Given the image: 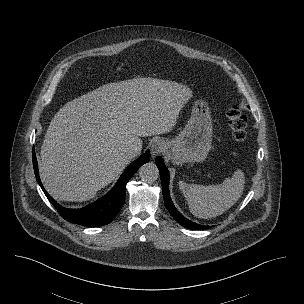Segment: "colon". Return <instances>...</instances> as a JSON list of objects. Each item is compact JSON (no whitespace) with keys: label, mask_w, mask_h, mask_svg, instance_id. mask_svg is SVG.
I'll use <instances>...</instances> for the list:
<instances>
[{"label":"colon","mask_w":304,"mask_h":304,"mask_svg":"<svg viewBox=\"0 0 304 304\" xmlns=\"http://www.w3.org/2000/svg\"><path fill=\"white\" fill-rule=\"evenodd\" d=\"M226 117L232 138L237 142L243 141L247 135V117L237 106L230 107Z\"/></svg>","instance_id":"colon-1"}]
</instances>
